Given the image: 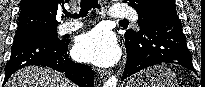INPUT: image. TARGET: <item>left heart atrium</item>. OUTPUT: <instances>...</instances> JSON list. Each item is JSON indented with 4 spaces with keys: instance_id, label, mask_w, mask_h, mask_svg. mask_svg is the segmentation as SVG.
Segmentation results:
<instances>
[{
    "instance_id": "left-heart-atrium-1",
    "label": "left heart atrium",
    "mask_w": 205,
    "mask_h": 87,
    "mask_svg": "<svg viewBox=\"0 0 205 87\" xmlns=\"http://www.w3.org/2000/svg\"><path fill=\"white\" fill-rule=\"evenodd\" d=\"M74 53L79 60L97 66H110L120 55L114 35L101 28L82 35L76 43Z\"/></svg>"
}]
</instances>
